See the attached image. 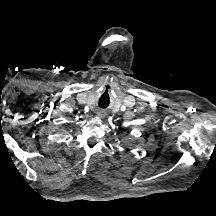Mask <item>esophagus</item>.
Wrapping results in <instances>:
<instances>
[{"label": "esophagus", "mask_w": 216, "mask_h": 216, "mask_svg": "<svg viewBox=\"0 0 216 216\" xmlns=\"http://www.w3.org/2000/svg\"><path fill=\"white\" fill-rule=\"evenodd\" d=\"M97 115H98L99 118H101L104 115V111L103 110H99L97 112Z\"/></svg>", "instance_id": "esophagus-1"}]
</instances>
